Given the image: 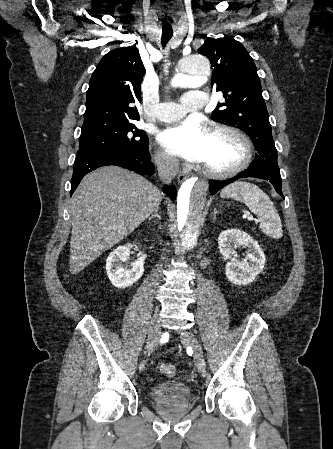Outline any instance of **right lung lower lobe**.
<instances>
[{"label":"right lung lower lobe","instance_id":"right-lung-lower-lobe-1","mask_svg":"<svg viewBox=\"0 0 333 449\" xmlns=\"http://www.w3.org/2000/svg\"><path fill=\"white\" fill-rule=\"evenodd\" d=\"M106 165H116L138 174H153L154 164L148 152H125L120 150H84L78 151L74 163L70 195L73 194L82 178L92 170ZM168 196L175 200V187H164Z\"/></svg>","mask_w":333,"mask_h":449}]
</instances>
